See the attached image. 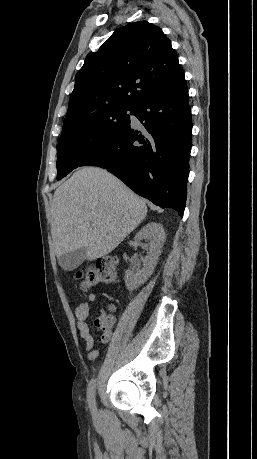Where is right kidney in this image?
<instances>
[{
	"label": "right kidney",
	"mask_w": 257,
	"mask_h": 459,
	"mask_svg": "<svg viewBox=\"0 0 257 459\" xmlns=\"http://www.w3.org/2000/svg\"><path fill=\"white\" fill-rule=\"evenodd\" d=\"M143 239L149 241L148 245H142L147 250L143 268L135 267L134 270H127L125 272L124 280L129 290L136 289L138 286L144 284L153 273L166 240L162 224L150 222L145 225L135 236V240L138 242Z\"/></svg>",
	"instance_id": "1"
}]
</instances>
